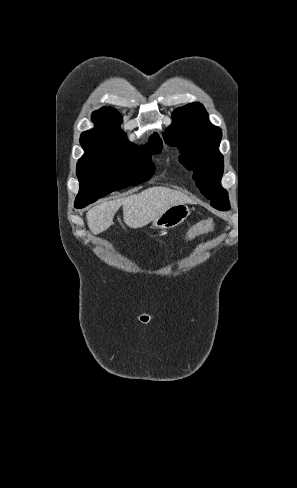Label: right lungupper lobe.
I'll list each match as a JSON object with an SVG mask.
<instances>
[{
    "instance_id": "obj_1",
    "label": "right lung upper lobe",
    "mask_w": 297,
    "mask_h": 488,
    "mask_svg": "<svg viewBox=\"0 0 297 488\" xmlns=\"http://www.w3.org/2000/svg\"><path fill=\"white\" fill-rule=\"evenodd\" d=\"M92 119L95 122V128L83 132L80 138L83 148H95L103 140L119 137L126 138V134L118 127V124L122 122V118L116 109L102 108L100 111L93 113ZM153 136L158 137L156 135Z\"/></svg>"
}]
</instances>
